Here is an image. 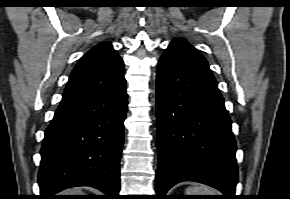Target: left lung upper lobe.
I'll return each mask as SVG.
<instances>
[{
    "mask_svg": "<svg viewBox=\"0 0 290 199\" xmlns=\"http://www.w3.org/2000/svg\"><path fill=\"white\" fill-rule=\"evenodd\" d=\"M166 50L174 52L182 56L185 60L211 72L206 59L184 39H174Z\"/></svg>",
    "mask_w": 290,
    "mask_h": 199,
    "instance_id": "left-lung-upper-lobe-1",
    "label": "left lung upper lobe"
}]
</instances>
